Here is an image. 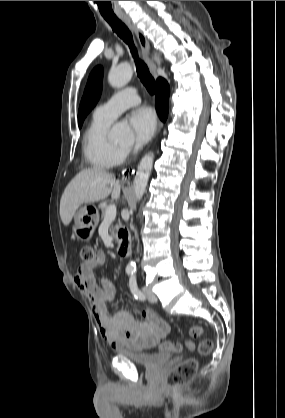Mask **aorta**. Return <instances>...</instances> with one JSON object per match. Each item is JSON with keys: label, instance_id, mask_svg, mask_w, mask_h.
Here are the masks:
<instances>
[{"label": "aorta", "instance_id": "obj_1", "mask_svg": "<svg viewBox=\"0 0 285 418\" xmlns=\"http://www.w3.org/2000/svg\"><path fill=\"white\" fill-rule=\"evenodd\" d=\"M132 75V66L127 62L121 63L118 66L111 68L108 74V82L114 88H121L131 80ZM130 133V129L127 126L117 124L112 128L111 137L115 141H123L130 135ZM153 160L154 154L150 152L141 159L138 165L136 176L134 178L135 196L138 201L142 199L146 190L153 167ZM127 268L132 271L136 270V263L134 261H130Z\"/></svg>", "mask_w": 285, "mask_h": 418}]
</instances>
